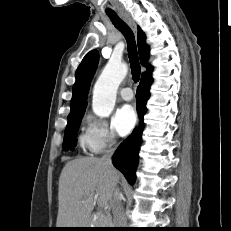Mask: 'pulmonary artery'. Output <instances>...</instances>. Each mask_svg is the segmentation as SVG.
Returning a JSON list of instances; mask_svg holds the SVG:
<instances>
[{
	"instance_id": "pulmonary-artery-1",
	"label": "pulmonary artery",
	"mask_w": 231,
	"mask_h": 231,
	"mask_svg": "<svg viewBox=\"0 0 231 231\" xmlns=\"http://www.w3.org/2000/svg\"><path fill=\"white\" fill-rule=\"evenodd\" d=\"M120 96L122 99H124L126 101H130L133 99V91L129 87L122 88L120 90Z\"/></svg>"
}]
</instances>
